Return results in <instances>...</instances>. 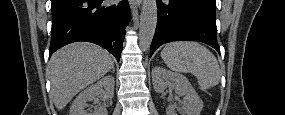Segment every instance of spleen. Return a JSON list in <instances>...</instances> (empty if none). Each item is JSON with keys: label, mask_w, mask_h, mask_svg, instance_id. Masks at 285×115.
Wrapping results in <instances>:
<instances>
[{"label": "spleen", "mask_w": 285, "mask_h": 115, "mask_svg": "<svg viewBox=\"0 0 285 115\" xmlns=\"http://www.w3.org/2000/svg\"><path fill=\"white\" fill-rule=\"evenodd\" d=\"M161 58L172 71L193 74L202 90L218 85L221 79L216 57L198 42H170L161 51Z\"/></svg>", "instance_id": "obj_1"}]
</instances>
